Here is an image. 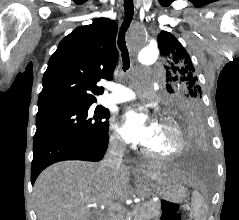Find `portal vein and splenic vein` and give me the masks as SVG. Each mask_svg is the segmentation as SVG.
<instances>
[{
  "label": "portal vein and splenic vein",
  "mask_w": 239,
  "mask_h": 220,
  "mask_svg": "<svg viewBox=\"0 0 239 220\" xmlns=\"http://www.w3.org/2000/svg\"><path fill=\"white\" fill-rule=\"evenodd\" d=\"M110 206H111V208H113V209L116 208V205H115V204H111ZM133 211H136V210H133ZM133 211H132V214H133Z\"/></svg>",
  "instance_id": "portal-vein-and-splenic-vein-1"
}]
</instances>
